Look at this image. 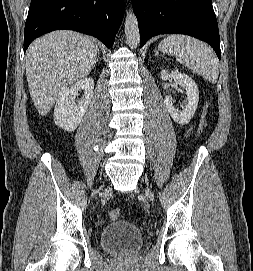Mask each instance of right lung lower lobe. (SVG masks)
Returning <instances> with one entry per match:
<instances>
[{
    "instance_id": "98d812e1",
    "label": "right lung lower lobe",
    "mask_w": 253,
    "mask_h": 271,
    "mask_svg": "<svg viewBox=\"0 0 253 271\" xmlns=\"http://www.w3.org/2000/svg\"><path fill=\"white\" fill-rule=\"evenodd\" d=\"M124 15V0H31L24 52L37 37L60 29L92 35L112 47Z\"/></svg>"
}]
</instances>
